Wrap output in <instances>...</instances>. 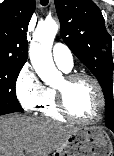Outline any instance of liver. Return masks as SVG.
<instances>
[{"mask_svg":"<svg viewBox=\"0 0 114 156\" xmlns=\"http://www.w3.org/2000/svg\"><path fill=\"white\" fill-rule=\"evenodd\" d=\"M77 127L21 114L0 117V156H48ZM25 152V155H24Z\"/></svg>","mask_w":114,"mask_h":156,"instance_id":"1","label":"liver"}]
</instances>
